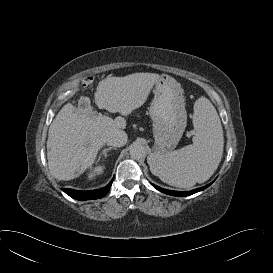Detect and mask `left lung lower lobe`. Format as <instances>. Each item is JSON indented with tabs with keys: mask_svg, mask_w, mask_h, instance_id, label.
I'll return each mask as SVG.
<instances>
[{
	"mask_svg": "<svg viewBox=\"0 0 273 273\" xmlns=\"http://www.w3.org/2000/svg\"><path fill=\"white\" fill-rule=\"evenodd\" d=\"M212 183L204 186V187H201V188H197V189H194V190H191V191H185V192H180V191H172V190H167V189H163V188H160L154 184L153 187H155L157 190L165 193V194H168V195H171V196H178V197H185V196H188V195H192L194 193H197L199 191H202L204 189H206L207 187H209Z\"/></svg>",
	"mask_w": 273,
	"mask_h": 273,
	"instance_id": "left-lung-lower-lobe-1",
	"label": "left lung lower lobe"
}]
</instances>
